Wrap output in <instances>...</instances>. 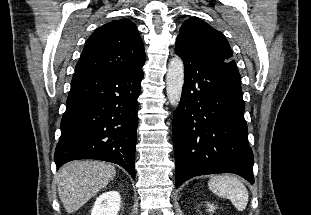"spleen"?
<instances>
[{
	"label": "spleen",
	"instance_id": "obj_1",
	"mask_svg": "<svg viewBox=\"0 0 311 215\" xmlns=\"http://www.w3.org/2000/svg\"><path fill=\"white\" fill-rule=\"evenodd\" d=\"M208 186L216 195L229 199L237 210L243 211L246 208L248 190L238 178L230 175L212 176Z\"/></svg>",
	"mask_w": 311,
	"mask_h": 215
}]
</instances>
